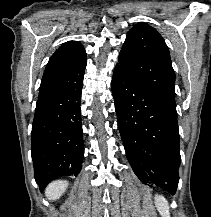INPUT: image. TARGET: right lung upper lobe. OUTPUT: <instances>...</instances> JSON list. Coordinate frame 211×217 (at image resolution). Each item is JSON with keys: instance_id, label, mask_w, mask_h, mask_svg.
<instances>
[{"instance_id": "obj_1", "label": "right lung upper lobe", "mask_w": 211, "mask_h": 217, "mask_svg": "<svg viewBox=\"0 0 211 217\" xmlns=\"http://www.w3.org/2000/svg\"><path fill=\"white\" fill-rule=\"evenodd\" d=\"M87 65L86 52L77 41L62 44L50 58L40 85L38 99L77 82Z\"/></svg>"}]
</instances>
